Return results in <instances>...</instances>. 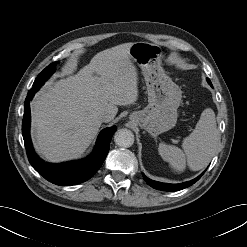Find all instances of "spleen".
<instances>
[{
  "instance_id": "1",
  "label": "spleen",
  "mask_w": 247,
  "mask_h": 247,
  "mask_svg": "<svg viewBox=\"0 0 247 247\" xmlns=\"http://www.w3.org/2000/svg\"><path fill=\"white\" fill-rule=\"evenodd\" d=\"M219 140L214 111L205 109L193 132L183 140V150L176 146L160 144L158 151L163 160L176 171L186 164L193 171L204 168L212 159Z\"/></svg>"
}]
</instances>
